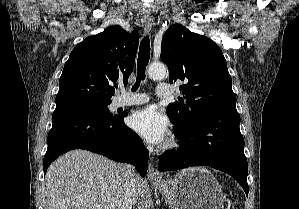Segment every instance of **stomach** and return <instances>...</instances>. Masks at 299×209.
<instances>
[{"mask_svg": "<svg viewBox=\"0 0 299 209\" xmlns=\"http://www.w3.org/2000/svg\"><path fill=\"white\" fill-rule=\"evenodd\" d=\"M153 185L171 209H220L223 204L221 186L202 167L184 169L173 178Z\"/></svg>", "mask_w": 299, "mask_h": 209, "instance_id": "1", "label": "stomach"}]
</instances>
